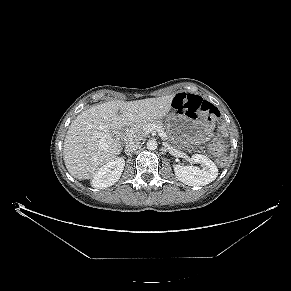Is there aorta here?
Here are the masks:
<instances>
[{"mask_svg": "<svg viewBox=\"0 0 291 291\" xmlns=\"http://www.w3.org/2000/svg\"><path fill=\"white\" fill-rule=\"evenodd\" d=\"M147 149L150 151L156 150L157 148V141L155 139H150L147 142Z\"/></svg>", "mask_w": 291, "mask_h": 291, "instance_id": "obj_1", "label": "aorta"}]
</instances>
